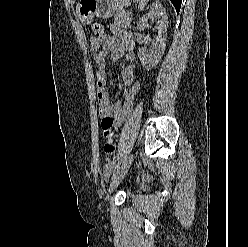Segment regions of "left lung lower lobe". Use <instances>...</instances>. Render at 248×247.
<instances>
[{"label": "left lung lower lobe", "mask_w": 248, "mask_h": 247, "mask_svg": "<svg viewBox=\"0 0 248 247\" xmlns=\"http://www.w3.org/2000/svg\"><path fill=\"white\" fill-rule=\"evenodd\" d=\"M170 1L173 3L177 13H179L182 0H170Z\"/></svg>", "instance_id": "1"}]
</instances>
